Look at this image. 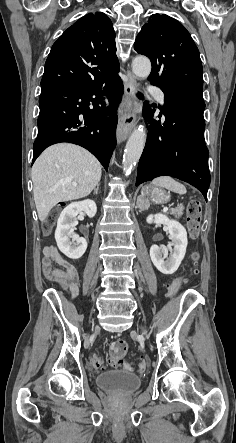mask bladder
Returning <instances> with one entry per match:
<instances>
[{
    "label": "bladder",
    "mask_w": 236,
    "mask_h": 443,
    "mask_svg": "<svg viewBox=\"0 0 236 443\" xmlns=\"http://www.w3.org/2000/svg\"><path fill=\"white\" fill-rule=\"evenodd\" d=\"M96 386L106 391L130 393L142 385V378L128 370L107 371L95 379Z\"/></svg>",
    "instance_id": "31cf9c89"
}]
</instances>
